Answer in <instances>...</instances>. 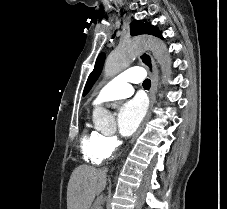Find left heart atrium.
<instances>
[{
  "label": "left heart atrium",
  "mask_w": 227,
  "mask_h": 209,
  "mask_svg": "<svg viewBox=\"0 0 227 209\" xmlns=\"http://www.w3.org/2000/svg\"><path fill=\"white\" fill-rule=\"evenodd\" d=\"M145 113V105L140 99L123 102L119 109V132L125 137L131 136L139 126Z\"/></svg>",
  "instance_id": "39dd6f15"
}]
</instances>
